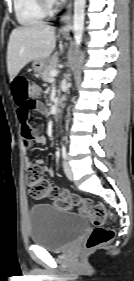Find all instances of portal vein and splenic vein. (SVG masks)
I'll return each instance as SVG.
<instances>
[{"label": "portal vein and splenic vein", "instance_id": "1", "mask_svg": "<svg viewBox=\"0 0 134 281\" xmlns=\"http://www.w3.org/2000/svg\"><path fill=\"white\" fill-rule=\"evenodd\" d=\"M58 73H59L58 70H52V71L50 72L51 78L56 77V76L58 75Z\"/></svg>", "mask_w": 134, "mask_h": 281}]
</instances>
